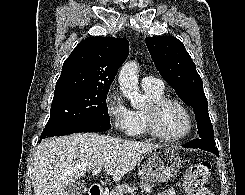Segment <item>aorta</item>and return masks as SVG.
Here are the masks:
<instances>
[{"label": "aorta", "mask_w": 245, "mask_h": 195, "mask_svg": "<svg viewBox=\"0 0 245 195\" xmlns=\"http://www.w3.org/2000/svg\"><path fill=\"white\" fill-rule=\"evenodd\" d=\"M118 81L123 95L130 101L131 106H143V96L138 86V65L134 61L125 63L119 73Z\"/></svg>", "instance_id": "1"}]
</instances>
